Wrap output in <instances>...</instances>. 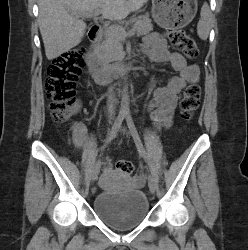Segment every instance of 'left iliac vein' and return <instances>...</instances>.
Segmentation results:
<instances>
[{
    "mask_svg": "<svg viewBox=\"0 0 248 250\" xmlns=\"http://www.w3.org/2000/svg\"><path fill=\"white\" fill-rule=\"evenodd\" d=\"M148 186L152 193L156 191L157 182L153 175L148 176Z\"/></svg>",
    "mask_w": 248,
    "mask_h": 250,
    "instance_id": "obj_1",
    "label": "left iliac vein"
}]
</instances>
